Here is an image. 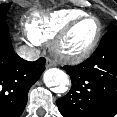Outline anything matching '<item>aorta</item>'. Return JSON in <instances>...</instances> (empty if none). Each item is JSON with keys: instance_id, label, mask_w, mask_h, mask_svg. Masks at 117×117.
<instances>
[{"instance_id": "obj_1", "label": "aorta", "mask_w": 117, "mask_h": 117, "mask_svg": "<svg viewBox=\"0 0 117 117\" xmlns=\"http://www.w3.org/2000/svg\"><path fill=\"white\" fill-rule=\"evenodd\" d=\"M43 81L47 87H57L59 91L65 89L70 83L68 75L58 68L46 70L43 75Z\"/></svg>"}]
</instances>
